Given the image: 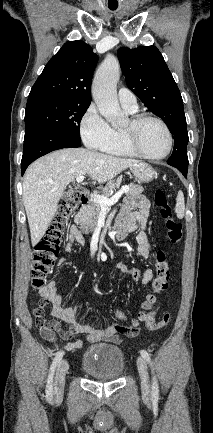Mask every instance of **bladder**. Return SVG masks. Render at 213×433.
I'll list each match as a JSON object with an SVG mask.
<instances>
[{
	"mask_svg": "<svg viewBox=\"0 0 213 433\" xmlns=\"http://www.w3.org/2000/svg\"><path fill=\"white\" fill-rule=\"evenodd\" d=\"M82 370L96 379H116L125 370V357L115 346L99 343L88 348L82 356Z\"/></svg>",
	"mask_w": 213,
	"mask_h": 433,
	"instance_id": "bladder-1",
	"label": "bladder"
}]
</instances>
